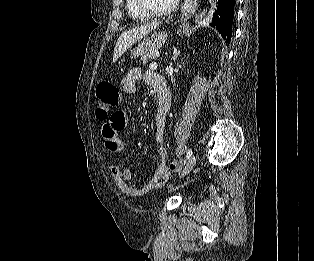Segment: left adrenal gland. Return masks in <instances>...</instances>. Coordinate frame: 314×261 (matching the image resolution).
<instances>
[{
    "instance_id": "1",
    "label": "left adrenal gland",
    "mask_w": 314,
    "mask_h": 261,
    "mask_svg": "<svg viewBox=\"0 0 314 261\" xmlns=\"http://www.w3.org/2000/svg\"><path fill=\"white\" fill-rule=\"evenodd\" d=\"M179 55H180V50H177V48H174L172 60L177 59V57H178Z\"/></svg>"
}]
</instances>
